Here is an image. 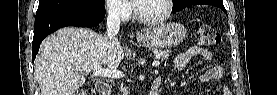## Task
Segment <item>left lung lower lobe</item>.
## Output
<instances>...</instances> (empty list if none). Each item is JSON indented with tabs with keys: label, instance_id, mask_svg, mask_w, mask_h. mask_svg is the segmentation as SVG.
I'll return each mask as SVG.
<instances>
[{
	"label": "left lung lower lobe",
	"instance_id": "left-lung-lower-lobe-1",
	"mask_svg": "<svg viewBox=\"0 0 277 95\" xmlns=\"http://www.w3.org/2000/svg\"><path fill=\"white\" fill-rule=\"evenodd\" d=\"M196 4H207V5H213V6H216V7H219L221 8L227 15V12L224 8V5H223V2L222 1H215V0H197L193 3H191L190 5L188 6H191V5H196ZM187 6V7H188Z\"/></svg>",
	"mask_w": 277,
	"mask_h": 95
}]
</instances>
